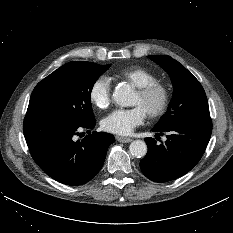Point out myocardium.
<instances>
[{
  "label": "myocardium",
  "mask_w": 233,
  "mask_h": 233,
  "mask_svg": "<svg viewBox=\"0 0 233 233\" xmlns=\"http://www.w3.org/2000/svg\"><path fill=\"white\" fill-rule=\"evenodd\" d=\"M136 92L143 98L151 97L154 94L160 95V103L158 107L147 113L148 117L156 119L162 117L166 113L171 99L170 90L166 84L155 81L137 88Z\"/></svg>",
  "instance_id": "myocardium-1"
}]
</instances>
